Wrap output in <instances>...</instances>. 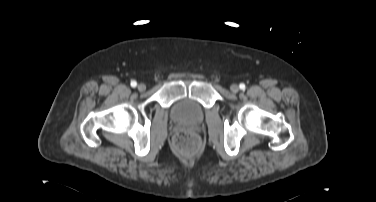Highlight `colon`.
Masks as SVG:
<instances>
[{
	"instance_id": "1",
	"label": "colon",
	"mask_w": 376,
	"mask_h": 202,
	"mask_svg": "<svg viewBox=\"0 0 376 202\" xmlns=\"http://www.w3.org/2000/svg\"><path fill=\"white\" fill-rule=\"evenodd\" d=\"M173 146L181 154L192 155L198 151L200 140L193 133L178 131L173 138Z\"/></svg>"
}]
</instances>
